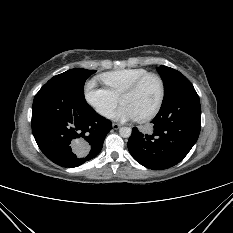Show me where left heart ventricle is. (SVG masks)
<instances>
[{
    "mask_svg": "<svg viewBox=\"0 0 233 233\" xmlns=\"http://www.w3.org/2000/svg\"><path fill=\"white\" fill-rule=\"evenodd\" d=\"M160 97V84L156 78H149L134 93L122 97L121 103L129 105L137 117L150 113L156 106Z\"/></svg>",
    "mask_w": 233,
    "mask_h": 233,
    "instance_id": "left-heart-ventricle-1",
    "label": "left heart ventricle"
}]
</instances>
